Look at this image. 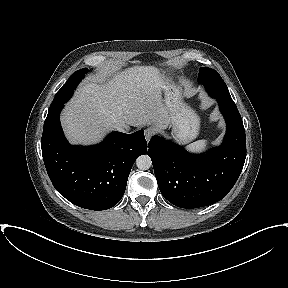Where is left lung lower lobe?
Segmentation results:
<instances>
[{
	"instance_id": "1",
	"label": "left lung lower lobe",
	"mask_w": 288,
	"mask_h": 288,
	"mask_svg": "<svg viewBox=\"0 0 288 288\" xmlns=\"http://www.w3.org/2000/svg\"><path fill=\"white\" fill-rule=\"evenodd\" d=\"M227 130L218 148L192 154L154 136L148 146L162 195L181 208H199L223 199L236 183L246 158V137L235 103L217 99Z\"/></svg>"
}]
</instances>
